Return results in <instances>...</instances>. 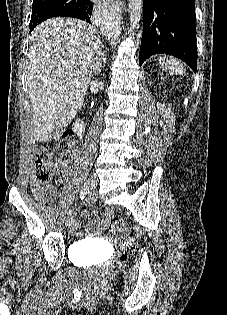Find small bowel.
<instances>
[{
  "label": "small bowel",
  "instance_id": "obj_1",
  "mask_svg": "<svg viewBox=\"0 0 227 315\" xmlns=\"http://www.w3.org/2000/svg\"><path fill=\"white\" fill-rule=\"evenodd\" d=\"M76 157H77V154H74L70 159H64V158L59 159L58 161L59 171L64 177H69L71 175V164L76 159ZM32 191L35 197L37 198V200L41 203H46L49 200L50 198L49 191L55 195H59V191L53 187L32 186ZM107 211L109 212V210ZM81 218L84 220H88L89 219L88 212L85 210L81 211ZM77 227H78V224L74 223L71 227V231L76 232Z\"/></svg>",
  "mask_w": 227,
  "mask_h": 315
}]
</instances>
